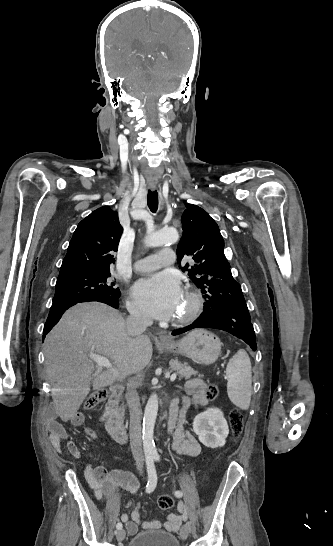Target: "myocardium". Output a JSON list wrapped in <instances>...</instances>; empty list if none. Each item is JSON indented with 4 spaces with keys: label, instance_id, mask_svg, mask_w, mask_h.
I'll list each match as a JSON object with an SVG mask.
<instances>
[{
    "label": "myocardium",
    "instance_id": "obj_1",
    "mask_svg": "<svg viewBox=\"0 0 333 546\" xmlns=\"http://www.w3.org/2000/svg\"><path fill=\"white\" fill-rule=\"evenodd\" d=\"M185 295L190 302V306L183 316L173 319L172 322L176 326H184L192 323L199 316L203 307V299L195 289L190 287L186 288Z\"/></svg>",
    "mask_w": 333,
    "mask_h": 546
}]
</instances>
